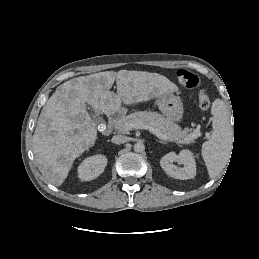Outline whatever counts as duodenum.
<instances>
[{
    "instance_id": "obj_1",
    "label": "duodenum",
    "mask_w": 259,
    "mask_h": 259,
    "mask_svg": "<svg viewBox=\"0 0 259 259\" xmlns=\"http://www.w3.org/2000/svg\"><path fill=\"white\" fill-rule=\"evenodd\" d=\"M118 117H119L118 110H112L108 113L107 115L108 124H107V127L103 130V134H108L111 131L112 125Z\"/></svg>"
}]
</instances>
